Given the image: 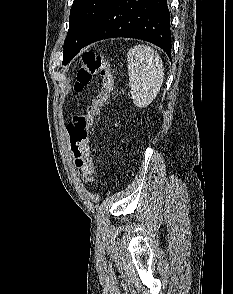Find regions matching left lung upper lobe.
<instances>
[{
	"label": "left lung upper lobe",
	"mask_w": 233,
	"mask_h": 294,
	"mask_svg": "<svg viewBox=\"0 0 233 294\" xmlns=\"http://www.w3.org/2000/svg\"><path fill=\"white\" fill-rule=\"evenodd\" d=\"M110 0H74L70 11L69 30L64 43L63 64H68L82 49L88 34Z\"/></svg>",
	"instance_id": "5c2ea615"
}]
</instances>
